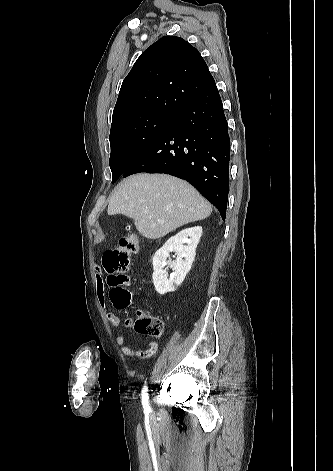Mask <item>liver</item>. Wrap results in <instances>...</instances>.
<instances>
[{"instance_id":"6515ba94","label":"liver","mask_w":333,"mask_h":471,"mask_svg":"<svg viewBox=\"0 0 333 471\" xmlns=\"http://www.w3.org/2000/svg\"><path fill=\"white\" fill-rule=\"evenodd\" d=\"M107 212L132 218L142 236L158 239L180 226L209 217L212 208L182 179L139 173L125 179L113 191Z\"/></svg>"}]
</instances>
